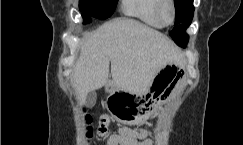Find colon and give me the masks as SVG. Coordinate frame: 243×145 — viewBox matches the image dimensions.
I'll use <instances>...</instances> for the list:
<instances>
[{"label": "colon", "mask_w": 243, "mask_h": 145, "mask_svg": "<svg viewBox=\"0 0 243 145\" xmlns=\"http://www.w3.org/2000/svg\"><path fill=\"white\" fill-rule=\"evenodd\" d=\"M85 121L87 124H90L91 123L90 116H86ZM88 128H89L88 135L91 136L92 131L90 130V127ZM107 133H108V119L106 117H103L99 122V126L97 128V134L101 137H104L107 135Z\"/></svg>", "instance_id": "5ec220e1"}]
</instances>
